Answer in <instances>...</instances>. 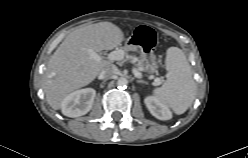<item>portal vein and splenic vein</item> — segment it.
Returning a JSON list of instances; mask_svg holds the SVG:
<instances>
[{
  "instance_id": "1",
  "label": "portal vein and splenic vein",
  "mask_w": 248,
  "mask_h": 158,
  "mask_svg": "<svg viewBox=\"0 0 248 158\" xmlns=\"http://www.w3.org/2000/svg\"><path fill=\"white\" fill-rule=\"evenodd\" d=\"M87 51H88V53L92 59L97 60V61H100L102 59V57L100 55H98L96 52H94L93 50L88 49ZM124 56H125V52L123 50L119 49V50H114V51L110 52L107 55V58L111 61H116V60H122L124 58ZM132 71L136 77L141 76V73L136 68H133ZM154 81L157 84L161 83L160 78H155Z\"/></svg>"
}]
</instances>
